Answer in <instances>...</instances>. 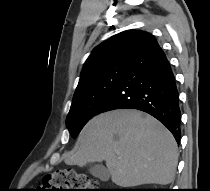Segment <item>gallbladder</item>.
I'll list each match as a JSON object with an SVG mask.
<instances>
[{"mask_svg": "<svg viewBox=\"0 0 210 191\" xmlns=\"http://www.w3.org/2000/svg\"><path fill=\"white\" fill-rule=\"evenodd\" d=\"M90 172L93 176L100 178L101 180H108L109 173L106 168L101 164H95L90 167Z\"/></svg>", "mask_w": 210, "mask_h": 191, "instance_id": "1", "label": "gallbladder"}]
</instances>
